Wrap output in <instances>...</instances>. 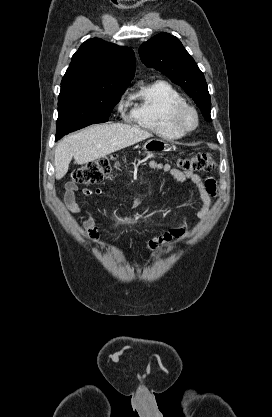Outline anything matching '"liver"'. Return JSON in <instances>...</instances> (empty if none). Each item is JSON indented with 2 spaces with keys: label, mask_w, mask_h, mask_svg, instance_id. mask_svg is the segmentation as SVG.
<instances>
[{
  "label": "liver",
  "mask_w": 272,
  "mask_h": 417,
  "mask_svg": "<svg viewBox=\"0 0 272 417\" xmlns=\"http://www.w3.org/2000/svg\"><path fill=\"white\" fill-rule=\"evenodd\" d=\"M149 137L152 134L146 130L120 123L93 125L69 135L55 148V177L60 180L66 175L72 158L83 165Z\"/></svg>",
  "instance_id": "liver-1"
}]
</instances>
